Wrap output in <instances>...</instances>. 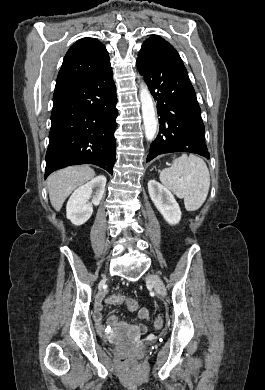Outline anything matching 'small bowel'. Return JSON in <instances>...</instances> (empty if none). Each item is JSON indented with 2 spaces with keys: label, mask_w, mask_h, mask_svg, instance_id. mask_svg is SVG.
Instances as JSON below:
<instances>
[{
  "label": "small bowel",
  "mask_w": 265,
  "mask_h": 390,
  "mask_svg": "<svg viewBox=\"0 0 265 390\" xmlns=\"http://www.w3.org/2000/svg\"><path fill=\"white\" fill-rule=\"evenodd\" d=\"M101 311H102V305H101L100 300H98L96 302V305H95V318H96L97 324L100 327H101V320H102ZM138 318L142 321V323L137 325V326L131 327V330L134 331V332H137V333H141V334L142 333H146L147 325L145 323L149 320V311H148V309L141 308L138 311ZM109 321H110L111 324L116 325L117 324V317L115 315H111L109 317Z\"/></svg>",
  "instance_id": "c3829d8e"
}]
</instances>
